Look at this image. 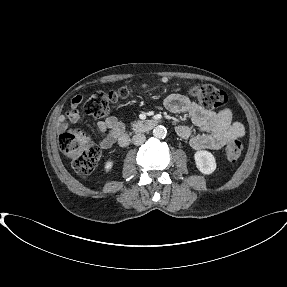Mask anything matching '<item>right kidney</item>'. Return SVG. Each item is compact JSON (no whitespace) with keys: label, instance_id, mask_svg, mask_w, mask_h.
Here are the masks:
<instances>
[{"label":"right kidney","instance_id":"1","mask_svg":"<svg viewBox=\"0 0 287 287\" xmlns=\"http://www.w3.org/2000/svg\"><path fill=\"white\" fill-rule=\"evenodd\" d=\"M113 164H114L113 160H108L104 166L105 171L109 172L112 169Z\"/></svg>","mask_w":287,"mask_h":287}]
</instances>
